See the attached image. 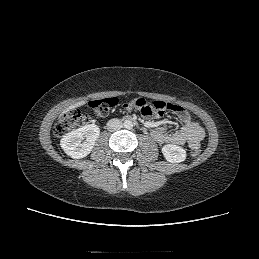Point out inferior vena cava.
<instances>
[{"instance_id": "1", "label": "inferior vena cava", "mask_w": 259, "mask_h": 259, "mask_svg": "<svg viewBox=\"0 0 259 259\" xmlns=\"http://www.w3.org/2000/svg\"><path fill=\"white\" fill-rule=\"evenodd\" d=\"M123 127L122 122L119 119H111L107 123V130L110 132H114L120 130Z\"/></svg>"}]
</instances>
